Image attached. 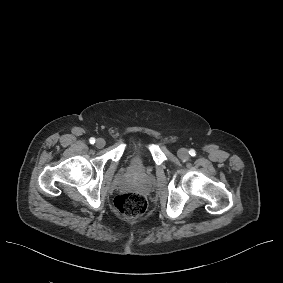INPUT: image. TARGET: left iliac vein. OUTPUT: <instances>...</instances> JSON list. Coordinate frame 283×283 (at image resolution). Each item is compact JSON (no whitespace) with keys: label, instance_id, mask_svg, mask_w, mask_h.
<instances>
[{"label":"left iliac vein","instance_id":"left-iliac-vein-1","mask_svg":"<svg viewBox=\"0 0 283 283\" xmlns=\"http://www.w3.org/2000/svg\"><path fill=\"white\" fill-rule=\"evenodd\" d=\"M178 157L182 160H187L189 159V152L185 148H181L178 150Z\"/></svg>","mask_w":283,"mask_h":283}]
</instances>
